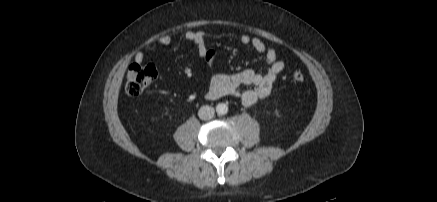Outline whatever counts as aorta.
<instances>
[{
    "label": "aorta",
    "instance_id": "762f6f07",
    "mask_svg": "<svg viewBox=\"0 0 437 202\" xmlns=\"http://www.w3.org/2000/svg\"><path fill=\"white\" fill-rule=\"evenodd\" d=\"M216 112L219 115H225L228 112V106L225 103H219L216 105Z\"/></svg>",
    "mask_w": 437,
    "mask_h": 202
}]
</instances>
